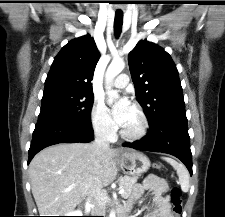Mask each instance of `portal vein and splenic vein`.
I'll list each match as a JSON object with an SVG mask.
<instances>
[{
    "mask_svg": "<svg viewBox=\"0 0 225 217\" xmlns=\"http://www.w3.org/2000/svg\"><path fill=\"white\" fill-rule=\"evenodd\" d=\"M122 193H124V189L123 188H120L119 189V194H122Z\"/></svg>",
    "mask_w": 225,
    "mask_h": 217,
    "instance_id": "obj_1",
    "label": "portal vein and splenic vein"
}]
</instances>
